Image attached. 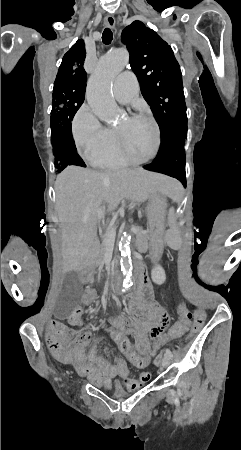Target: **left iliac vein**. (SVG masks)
<instances>
[{"instance_id": "left-iliac-vein-1", "label": "left iliac vein", "mask_w": 241, "mask_h": 450, "mask_svg": "<svg viewBox=\"0 0 241 450\" xmlns=\"http://www.w3.org/2000/svg\"><path fill=\"white\" fill-rule=\"evenodd\" d=\"M169 364H170V359H169V357H168V356H164V358H163V360H162V368H163V369L168 368ZM172 393H173V391H171V394H172Z\"/></svg>"}]
</instances>
